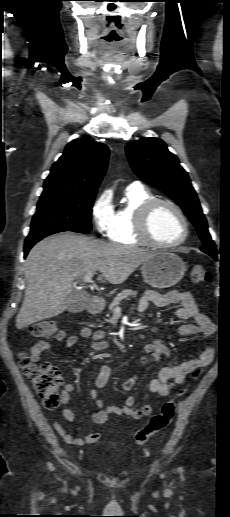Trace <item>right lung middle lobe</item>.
Segmentation results:
<instances>
[{"label":"right lung middle lobe","mask_w":230,"mask_h":517,"mask_svg":"<svg viewBox=\"0 0 230 517\" xmlns=\"http://www.w3.org/2000/svg\"><path fill=\"white\" fill-rule=\"evenodd\" d=\"M96 193L40 197L28 237L52 231L88 232Z\"/></svg>","instance_id":"obj_1"}]
</instances>
